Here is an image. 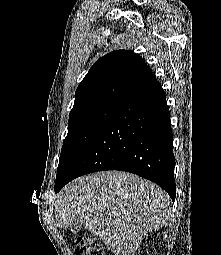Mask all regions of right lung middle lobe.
Returning <instances> with one entry per match:
<instances>
[{
	"label": "right lung middle lobe",
	"mask_w": 221,
	"mask_h": 255,
	"mask_svg": "<svg viewBox=\"0 0 221 255\" xmlns=\"http://www.w3.org/2000/svg\"><path fill=\"white\" fill-rule=\"evenodd\" d=\"M118 107L104 105L70 115L68 134L59 158L56 183L64 178Z\"/></svg>",
	"instance_id": "obj_1"
}]
</instances>
